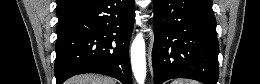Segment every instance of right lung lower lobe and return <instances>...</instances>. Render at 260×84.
I'll list each match as a JSON object with an SVG mask.
<instances>
[{
  "instance_id": "1",
  "label": "right lung lower lobe",
  "mask_w": 260,
  "mask_h": 84,
  "mask_svg": "<svg viewBox=\"0 0 260 84\" xmlns=\"http://www.w3.org/2000/svg\"><path fill=\"white\" fill-rule=\"evenodd\" d=\"M134 0H93L57 27V84L82 73H99L132 84L128 57Z\"/></svg>"
}]
</instances>
